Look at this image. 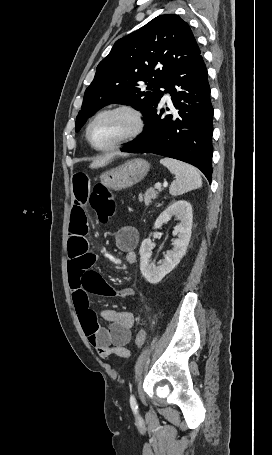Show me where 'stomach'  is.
Masks as SVG:
<instances>
[{"mask_svg": "<svg viewBox=\"0 0 272 455\" xmlns=\"http://www.w3.org/2000/svg\"><path fill=\"white\" fill-rule=\"evenodd\" d=\"M150 170V163L142 158L132 159L123 165L103 172L100 182L108 189L122 190L140 182Z\"/></svg>", "mask_w": 272, "mask_h": 455, "instance_id": "0dacf381", "label": "stomach"}]
</instances>
